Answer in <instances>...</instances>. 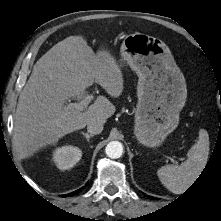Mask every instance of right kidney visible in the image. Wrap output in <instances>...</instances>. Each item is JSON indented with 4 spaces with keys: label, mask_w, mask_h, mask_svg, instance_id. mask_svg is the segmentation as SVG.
Returning a JSON list of instances; mask_svg holds the SVG:
<instances>
[{
    "label": "right kidney",
    "mask_w": 221,
    "mask_h": 221,
    "mask_svg": "<svg viewBox=\"0 0 221 221\" xmlns=\"http://www.w3.org/2000/svg\"><path fill=\"white\" fill-rule=\"evenodd\" d=\"M82 157V151L75 146L65 145L53 152V161L61 170L72 168Z\"/></svg>",
    "instance_id": "1"
}]
</instances>
